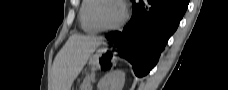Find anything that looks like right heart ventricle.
<instances>
[{"instance_id":"e07e8e85","label":"right heart ventricle","mask_w":228,"mask_h":90,"mask_svg":"<svg viewBox=\"0 0 228 90\" xmlns=\"http://www.w3.org/2000/svg\"><path fill=\"white\" fill-rule=\"evenodd\" d=\"M96 0H83L79 9V21L82 29L89 34L99 32L101 29L96 26L92 19V10Z\"/></svg>"}]
</instances>
